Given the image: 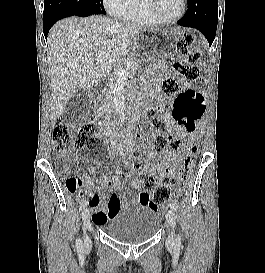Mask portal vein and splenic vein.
Here are the masks:
<instances>
[{"instance_id": "1", "label": "portal vein and splenic vein", "mask_w": 265, "mask_h": 273, "mask_svg": "<svg viewBox=\"0 0 265 273\" xmlns=\"http://www.w3.org/2000/svg\"><path fill=\"white\" fill-rule=\"evenodd\" d=\"M100 56H101L100 54L96 55V57H100ZM127 74H128V72H127ZM117 75H118L119 78H121V77L126 76V73L122 69H119L118 72H117Z\"/></svg>"}]
</instances>
